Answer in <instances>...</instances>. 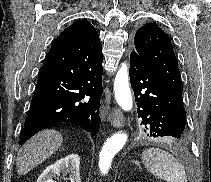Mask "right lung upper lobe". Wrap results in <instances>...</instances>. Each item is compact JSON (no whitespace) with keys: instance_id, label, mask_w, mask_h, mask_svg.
I'll list each match as a JSON object with an SVG mask.
<instances>
[{"instance_id":"cb5924a9","label":"right lung upper lobe","mask_w":211,"mask_h":182,"mask_svg":"<svg viewBox=\"0 0 211 182\" xmlns=\"http://www.w3.org/2000/svg\"><path fill=\"white\" fill-rule=\"evenodd\" d=\"M96 33L92 24L85 19L78 20L66 28L55 40L60 45L68 42H78L84 38L90 37Z\"/></svg>"}]
</instances>
